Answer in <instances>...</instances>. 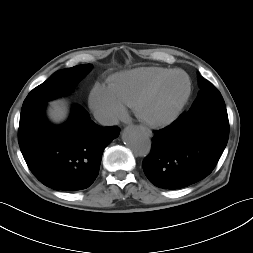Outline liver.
<instances>
[{"label": "liver", "instance_id": "obj_1", "mask_svg": "<svg viewBox=\"0 0 253 253\" xmlns=\"http://www.w3.org/2000/svg\"><path fill=\"white\" fill-rule=\"evenodd\" d=\"M66 116V111L59 104L54 103L53 109L50 112V117L53 121L59 122L63 120Z\"/></svg>", "mask_w": 253, "mask_h": 253}]
</instances>
